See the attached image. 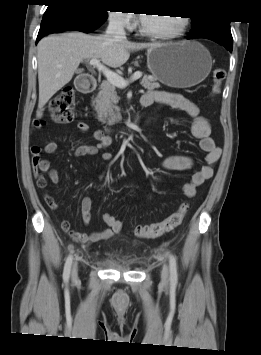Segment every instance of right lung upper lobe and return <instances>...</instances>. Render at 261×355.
Returning a JSON list of instances; mask_svg holds the SVG:
<instances>
[{"label":"right lung upper lobe","instance_id":"1","mask_svg":"<svg viewBox=\"0 0 261 355\" xmlns=\"http://www.w3.org/2000/svg\"><path fill=\"white\" fill-rule=\"evenodd\" d=\"M50 4H61V3H72V2H79L83 0H47Z\"/></svg>","mask_w":261,"mask_h":355}]
</instances>
